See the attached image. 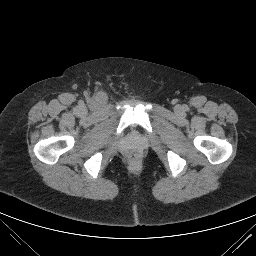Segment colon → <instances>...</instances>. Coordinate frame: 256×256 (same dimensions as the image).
I'll list each match as a JSON object with an SVG mask.
<instances>
[{
  "label": "colon",
  "instance_id": "1",
  "mask_svg": "<svg viewBox=\"0 0 256 256\" xmlns=\"http://www.w3.org/2000/svg\"><path fill=\"white\" fill-rule=\"evenodd\" d=\"M137 159H138V157H137L135 154H131V155H130V160H131L132 162H136Z\"/></svg>",
  "mask_w": 256,
  "mask_h": 256
}]
</instances>
